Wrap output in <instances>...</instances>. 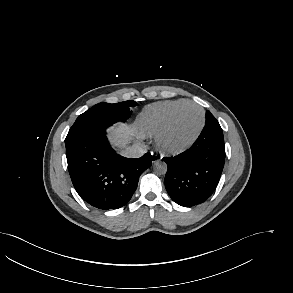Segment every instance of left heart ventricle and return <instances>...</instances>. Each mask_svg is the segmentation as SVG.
<instances>
[{
    "label": "left heart ventricle",
    "mask_w": 293,
    "mask_h": 293,
    "mask_svg": "<svg viewBox=\"0 0 293 293\" xmlns=\"http://www.w3.org/2000/svg\"><path fill=\"white\" fill-rule=\"evenodd\" d=\"M201 119V112L198 108L192 106L183 108L164 137L165 145L177 148L189 142L197 132Z\"/></svg>",
    "instance_id": "obj_1"
}]
</instances>
